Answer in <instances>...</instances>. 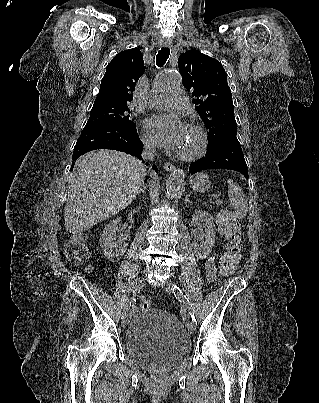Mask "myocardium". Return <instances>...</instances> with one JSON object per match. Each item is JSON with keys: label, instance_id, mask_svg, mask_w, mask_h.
<instances>
[{"label": "myocardium", "instance_id": "obj_1", "mask_svg": "<svg viewBox=\"0 0 319 403\" xmlns=\"http://www.w3.org/2000/svg\"><path fill=\"white\" fill-rule=\"evenodd\" d=\"M188 129L196 135L198 140L197 147L190 153L178 151L177 156L184 161H196L205 155L208 147V137L204 129L197 124H189Z\"/></svg>", "mask_w": 319, "mask_h": 403}]
</instances>
